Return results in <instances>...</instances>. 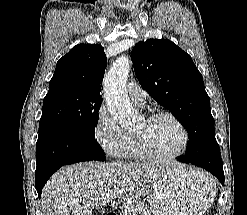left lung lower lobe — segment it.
I'll use <instances>...</instances> for the list:
<instances>
[{
  "label": "left lung lower lobe",
  "instance_id": "1",
  "mask_svg": "<svg viewBox=\"0 0 247 215\" xmlns=\"http://www.w3.org/2000/svg\"><path fill=\"white\" fill-rule=\"evenodd\" d=\"M193 154L180 156L178 161L193 164L209 171L224 183L223 163L217 141L210 139L195 144Z\"/></svg>",
  "mask_w": 247,
  "mask_h": 215
}]
</instances>
